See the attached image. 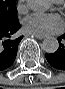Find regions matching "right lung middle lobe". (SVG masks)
<instances>
[{"label": "right lung middle lobe", "instance_id": "obj_1", "mask_svg": "<svg viewBox=\"0 0 65 89\" xmlns=\"http://www.w3.org/2000/svg\"><path fill=\"white\" fill-rule=\"evenodd\" d=\"M16 0H0V24L9 25L18 22Z\"/></svg>", "mask_w": 65, "mask_h": 89}]
</instances>
